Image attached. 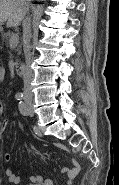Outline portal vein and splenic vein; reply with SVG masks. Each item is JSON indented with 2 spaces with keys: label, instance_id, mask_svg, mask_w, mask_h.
<instances>
[{
  "label": "portal vein and splenic vein",
  "instance_id": "obj_1",
  "mask_svg": "<svg viewBox=\"0 0 119 185\" xmlns=\"http://www.w3.org/2000/svg\"><path fill=\"white\" fill-rule=\"evenodd\" d=\"M18 42H19V37H18L17 34H14V35L10 38V40H9L10 47H15V46H17Z\"/></svg>",
  "mask_w": 119,
  "mask_h": 185
}]
</instances>
